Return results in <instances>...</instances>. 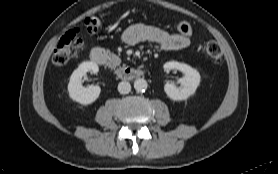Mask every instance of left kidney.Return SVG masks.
<instances>
[{
	"label": "left kidney",
	"instance_id": "left-kidney-1",
	"mask_svg": "<svg viewBox=\"0 0 278 174\" xmlns=\"http://www.w3.org/2000/svg\"><path fill=\"white\" fill-rule=\"evenodd\" d=\"M165 70H179L184 74V77L179 80L180 87H176L173 83L167 82L164 86V91L167 96L174 101L186 100L192 96L200 84L199 72L191 66L176 61L166 62Z\"/></svg>",
	"mask_w": 278,
	"mask_h": 174
}]
</instances>
